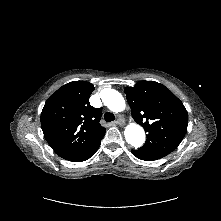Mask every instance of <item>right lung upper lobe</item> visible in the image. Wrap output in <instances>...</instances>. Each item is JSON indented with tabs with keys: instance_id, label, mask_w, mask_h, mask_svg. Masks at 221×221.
<instances>
[{
	"instance_id": "cb5924a9",
	"label": "right lung upper lobe",
	"mask_w": 221,
	"mask_h": 221,
	"mask_svg": "<svg viewBox=\"0 0 221 221\" xmlns=\"http://www.w3.org/2000/svg\"><path fill=\"white\" fill-rule=\"evenodd\" d=\"M94 86L86 81L63 85L46 101L41 127L51 148L73 161L91 149L105 134L99 123L102 111L89 103Z\"/></svg>"
}]
</instances>
